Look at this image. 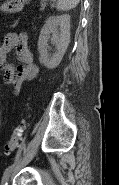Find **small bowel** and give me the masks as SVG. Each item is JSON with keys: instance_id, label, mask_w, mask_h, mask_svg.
<instances>
[{"instance_id": "obj_1", "label": "small bowel", "mask_w": 119, "mask_h": 185, "mask_svg": "<svg viewBox=\"0 0 119 185\" xmlns=\"http://www.w3.org/2000/svg\"><path fill=\"white\" fill-rule=\"evenodd\" d=\"M15 50L18 66L7 60V55ZM0 69L4 72V80L19 92L26 81L34 79L38 73V66L33 60L28 47V37L24 32H10L4 37L0 46Z\"/></svg>"}]
</instances>
